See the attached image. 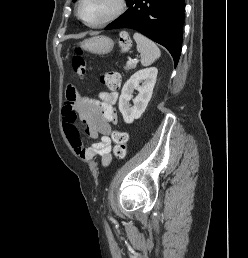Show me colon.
<instances>
[{
    "instance_id": "colon-1",
    "label": "colon",
    "mask_w": 248,
    "mask_h": 258,
    "mask_svg": "<svg viewBox=\"0 0 248 258\" xmlns=\"http://www.w3.org/2000/svg\"><path fill=\"white\" fill-rule=\"evenodd\" d=\"M119 44L122 51H127L130 48V41L124 33L120 34ZM71 63L74 73L78 77H84L86 74V63L79 52L72 58ZM103 81L111 90L117 89L120 83L119 75L116 72H108L104 74ZM112 139L115 143L114 154L116 158L123 159L126 156L127 150V134L123 131H113Z\"/></svg>"
}]
</instances>
